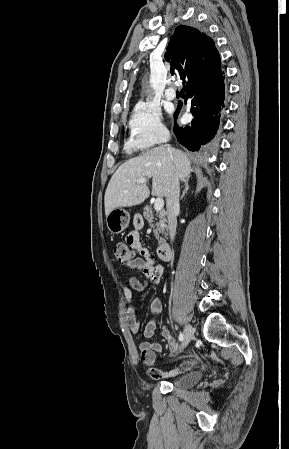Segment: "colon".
Instances as JSON below:
<instances>
[{
    "mask_svg": "<svg viewBox=\"0 0 289 449\" xmlns=\"http://www.w3.org/2000/svg\"><path fill=\"white\" fill-rule=\"evenodd\" d=\"M114 256L121 264H128L134 258L133 249L126 242H118L114 246Z\"/></svg>",
    "mask_w": 289,
    "mask_h": 449,
    "instance_id": "1",
    "label": "colon"
}]
</instances>
